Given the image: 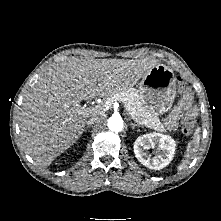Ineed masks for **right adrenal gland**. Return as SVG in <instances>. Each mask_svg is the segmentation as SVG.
<instances>
[{"mask_svg": "<svg viewBox=\"0 0 221 221\" xmlns=\"http://www.w3.org/2000/svg\"><path fill=\"white\" fill-rule=\"evenodd\" d=\"M88 127L86 128L85 132H87Z\"/></svg>", "mask_w": 221, "mask_h": 221, "instance_id": "right-adrenal-gland-1", "label": "right adrenal gland"}]
</instances>
